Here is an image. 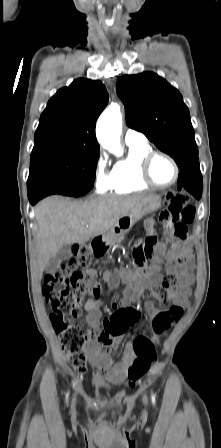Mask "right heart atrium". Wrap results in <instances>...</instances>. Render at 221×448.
<instances>
[{"label": "right heart atrium", "mask_w": 221, "mask_h": 448, "mask_svg": "<svg viewBox=\"0 0 221 448\" xmlns=\"http://www.w3.org/2000/svg\"><path fill=\"white\" fill-rule=\"evenodd\" d=\"M112 172L108 170V157L101 153L95 163V186L100 192L110 188Z\"/></svg>", "instance_id": "right-heart-atrium-1"}]
</instances>
